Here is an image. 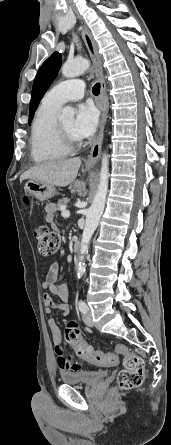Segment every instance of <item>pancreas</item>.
I'll use <instances>...</instances> for the list:
<instances>
[{"label":"pancreas","mask_w":171,"mask_h":445,"mask_svg":"<svg viewBox=\"0 0 171 445\" xmlns=\"http://www.w3.org/2000/svg\"><path fill=\"white\" fill-rule=\"evenodd\" d=\"M69 203V199L68 198H63L60 199L58 204H57V210H62V208L67 205Z\"/></svg>","instance_id":"1"}]
</instances>
